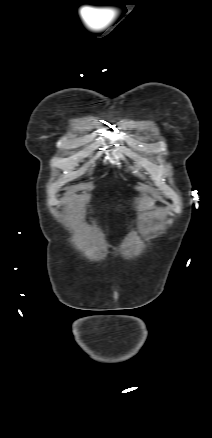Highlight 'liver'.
I'll list each match as a JSON object with an SVG mask.
<instances>
[{"label":"liver","instance_id":"1","mask_svg":"<svg viewBox=\"0 0 212 438\" xmlns=\"http://www.w3.org/2000/svg\"><path fill=\"white\" fill-rule=\"evenodd\" d=\"M154 205V201L150 198H143L139 201V209L145 210Z\"/></svg>","mask_w":212,"mask_h":438}]
</instances>
